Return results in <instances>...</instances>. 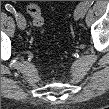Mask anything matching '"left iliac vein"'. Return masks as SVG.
Instances as JSON below:
<instances>
[{
  "label": "left iliac vein",
  "instance_id": "left-iliac-vein-1",
  "mask_svg": "<svg viewBox=\"0 0 109 109\" xmlns=\"http://www.w3.org/2000/svg\"><path fill=\"white\" fill-rule=\"evenodd\" d=\"M84 15V9L82 4H78V6L76 7L75 11H74V19L75 20H79L80 18H82Z\"/></svg>",
  "mask_w": 109,
  "mask_h": 109
}]
</instances>
